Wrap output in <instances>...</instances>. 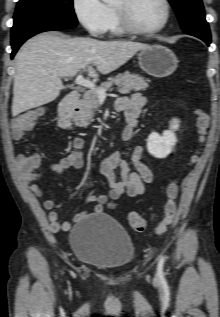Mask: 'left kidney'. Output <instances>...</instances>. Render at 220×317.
<instances>
[{
	"instance_id": "1",
	"label": "left kidney",
	"mask_w": 220,
	"mask_h": 317,
	"mask_svg": "<svg viewBox=\"0 0 220 317\" xmlns=\"http://www.w3.org/2000/svg\"><path fill=\"white\" fill-rule=\"evenodd\" d=\"M176 122L171 126V129H176ZM176 137L173 130L164 131L162 136L158 133H151L147 139L148 152L156 158H165L172 151L176 143Z\"/></svg>"
}]
</instances>
